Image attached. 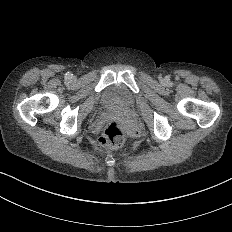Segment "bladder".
<instances>
[{"label": "bladder", "mask_w": 232, "mask_h": 232, "mask_svg": "<svg viewBox=\"0 0 232 232\" xmlns=\"http://www.w3.org/2000/svg\"><path fill=\"white\" fill-rule=\"evenodd\" d=\"M102 102L109 107L126 110L133 106L134 98L126 88L113 85L104 91Z\"/></svg>", "instance_id": "bladder-1"}]
</instances>
